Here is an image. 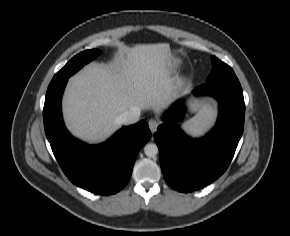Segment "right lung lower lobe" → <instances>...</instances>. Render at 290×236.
I'll return each mask as SVG.
<instances>
[{
	"mask_svg": "<svg viewBox=\"0 0 290 236\" xmlns=\"http://www.w3.org/2000/svg\"><path fill=\"white\" fill-rule=\"evenodd\" d=\"M67 80L53 79L46 93L43 120L52 151L75 185L100 195L117 193L128 183L137 154L151 137L148 123L123 127L101 145L84 144L63 123L61 98Z\"/></svg>",
	"mask_w": 290,
	"mask_h": 236,
	"instance_id": "right-lung-lower-lobe-1",
	"label": "right lung lower lobe"
}]
</instances>
